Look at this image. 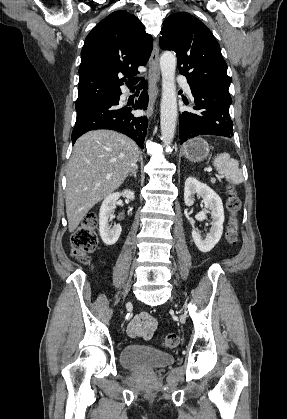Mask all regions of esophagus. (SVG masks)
Returning a JSON list of instances; mask_svg holds the SVG:
<instances>
[{"label": "esophagus", "mask_w": 287, "mask_h": 419, "mask_svg": "<svg viewBox=\"0 0 287 419\" xmlns=\"http://www.w3.org/2000/svg\"><path fill=\"white\" fill-rule=\"evenodd\" d=\"M159 82V46L157 42H155L149 60V105L147 109L148 117H151L153 114L154 105L159 94Z\"/></svg>", "instance_id": "obj_1"}]
</instances>
